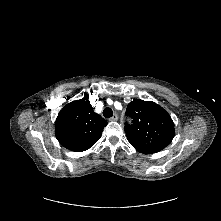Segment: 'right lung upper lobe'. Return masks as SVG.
Masks as SVG:
<instances>
[{"instance_id": "cb5924a9", "label": "right lung upper lobe", "mask_w": 221, "mask_h": 221, "mask_svg": "<svg viewBox=\"0 0 221 221\" xmlns=\"http://www.w3.org/2000/svg\"><path fill=\"white\" fill-rule=\"evenodd\" d=\"M106 125L107 121L93 111L85 96L68 103L59 112L55 122L56 138L65 148L82 152L99 140Z\"/></svg>"}]
</instances>
